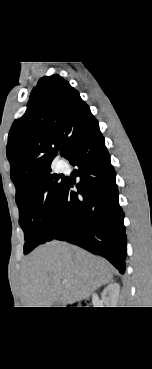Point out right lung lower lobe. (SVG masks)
I'll return each instance as SVG.
<instances>
[{
  "instance_id": "obj_1",
  "label": "right lung lower lobe",
  "mask_w": 152,
  "mask_h": 369,
  "mask_svg": "<svg viewBox=\"0 0 152 369\" xmlns=\"http://www.w3.org/2000/svg\"><path fill=\"white\" fill-rule=\"evenodd\" d=\"M68 160L78 167L75 173L80 182L75 192L72 183L66 181L55 229L47 241L58 239L78 245L105 257L124 273V213L118 202L116 173L100 130L79 144Z\"/></svg>"
}]
</instances>
